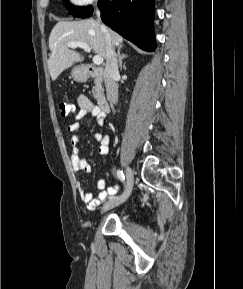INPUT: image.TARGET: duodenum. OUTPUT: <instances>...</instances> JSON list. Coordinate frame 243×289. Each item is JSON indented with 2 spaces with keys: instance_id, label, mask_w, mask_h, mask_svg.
I'll return each instance as SVG.
<instances>
[{
  "instance_id": "1",
  "label": "duodenum",
  "mask_w": 243,
  "mask_h": 289,
  "mask_svg": "<svg viewBox=\"0 0 243 289\" xmlns=\"http://www.w3.org/2000/svg\"><path fill=\"white\" fill-rule=\"evenodd\" d=\"M84 73L88 77L92 78H103L105 71L102 68L87 65L84 67ZM97 104L100 111L104 114L109 112V102L103 92H100L97 96Z\"/></svg>"
}]
</instances>
